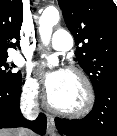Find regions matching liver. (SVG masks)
<instances>
[{"label": "liver", "mask_w": 117, "mask_h": 136, "mask_svg": "<svg viewBox=\"0 0 117 136\" xmlns=\"http://www.w3.org/2000/svg\"><path fill=\"white\" fill-rule=\"evenodd\" d=\"M0 136H32V133L22 130H0Z\"/></svg>", "instance_id": "1"}]
</instances>
